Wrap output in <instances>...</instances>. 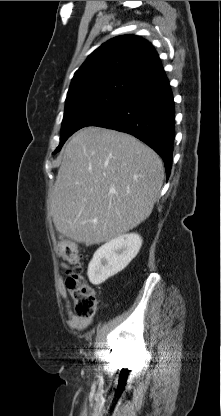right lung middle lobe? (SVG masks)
Instances as JSON below:
<instances>
[{"label":"right lung middle lobe","mask_w":221,"mask_h":416,"mask_svg":"<svg viewBox=\"0 0 221 416\" xmlns=\"http://www.w3.org/2000/svg\"><path fill=\"white\" fill-rule=\"evenodd\" d=\"M128 94L126 90H99L66 101L60 144L53 154L74 132L103 120Z\"/></svg>","instance_id":"obj_1"}]
</instances>
